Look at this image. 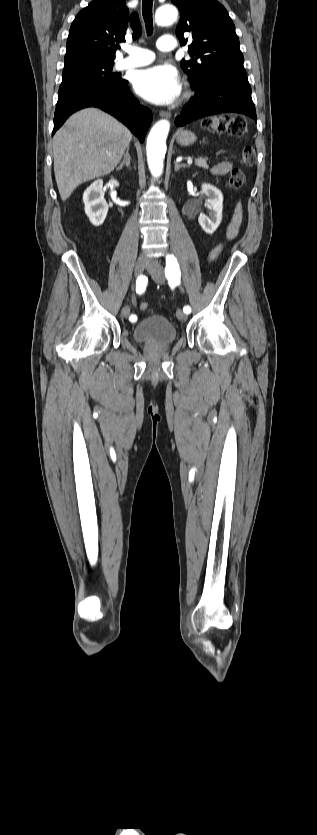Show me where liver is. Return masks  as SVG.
<instances>
[{
	"instance_id": "1",
	"label": "liver",
	"mask_w": 317,
	"mask_h": 835,
	"mask_svg": "<svg viewBox=\"0 0 317 835\" xmlns=\"http://www.w3.org/2000/svg\"><path fill=\"white\" fill-rule=\"evenodd\" d=\"M132 133L111 115L86 108L73 114L53 138L54 173L63 201L81 183L111 173Z\"/></svg>"
}]
</instances>
